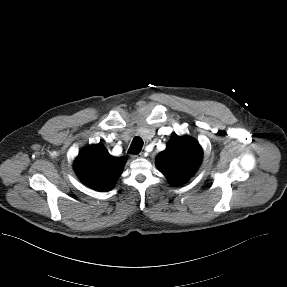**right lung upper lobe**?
Instances as JSON below:
<instances>
[{
	"mask_svg": "<svg viewBox=\"0 0 287 287\" xmlns=\"http://www.w3.org/2000/svg\"><path fill=\"white\" fill-rule=\"evenodd\" d=\"M125 157L111 156L102 143L83 148L74 162L80 180L97 191H108L115 186L123 172Z\"/></svg>",
	"mask_w": 287,
	"mask_h": 287,
	"instance_id": "right-lung-upper-lobe-1",
	"label": "right lung upper lobe"
}]
</instances>
